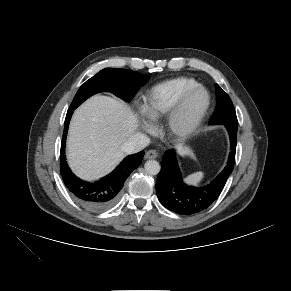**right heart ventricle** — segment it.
Returning <instances> with one entry per match:
<instances>
[{"label":"right heart ventricle","mask_w":291,"mask_h":291,"mask_svg":"<svg viewBox=\"0 0 291 291\" xmlns=\"http://www.w3.org/2000/svg\"><path fill=\"white\" fill-rule=\"evenodd\" d=\"M198 84L194 78L178 77L153 86L144 97L145 114L152 121L161 120L169 114L187 90Z\"/></svg>","instance_id":"1"}]
</instances>
